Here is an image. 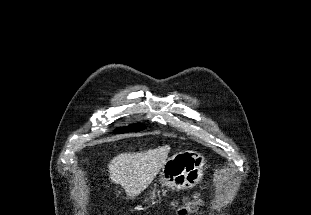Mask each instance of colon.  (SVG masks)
I'll return each instance as SVG.
<instances>
[{
    "instance_id": "colon-1",
    "label": "colon",
    "mask_w": 311,
    "mask_h": 215,
    "mask_svg": "<svg viewBox=\"0 0 311 215\" xmlns=\"http://www.w3.org/2000/svg\"><path fill=\"white\" fill-rule=\"evenodd\" d=\"M203 203L200 195H196L191 199L184 200L181 203L175 204V211L177 215H189L196 211Z\"/></svg>"
}]
</instances>
